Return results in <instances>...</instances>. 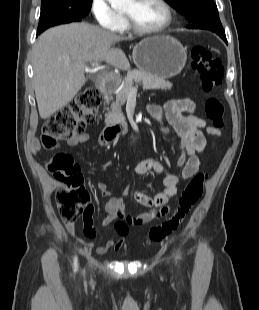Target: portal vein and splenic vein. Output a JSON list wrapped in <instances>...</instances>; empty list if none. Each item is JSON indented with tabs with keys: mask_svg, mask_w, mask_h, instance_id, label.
<instances>
[{
	"mask_svg": "<svg viewBox=\"0 0 259 310\" xmlns=\"http://www.w3.org/2000/svg\"><path fill=\"white\" fill-rule=\"evenodd\" d=\"M92 67H94L97 70H102L103 69V67L99 63H97V62L96 63H92ZM130 92H137V89L135 87H132L130 89Z\"/></svg>",
	"mask_w": 259,
	"mask_h": 310,
	"instance_id": "18ae733b",
	"label": "portal vein and splenic vein"
}]
</instances>
